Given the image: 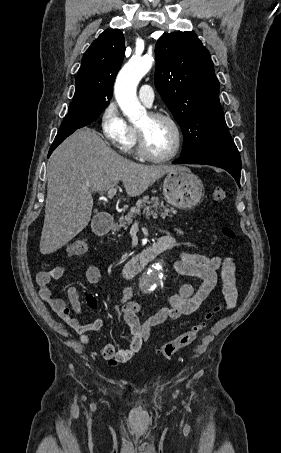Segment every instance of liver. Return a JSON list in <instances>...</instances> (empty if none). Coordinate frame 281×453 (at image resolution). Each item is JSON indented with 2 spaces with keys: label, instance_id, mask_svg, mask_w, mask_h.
Here are the masks:
<instances>
[{
  "label": "liver",
  "instance_id": "liver-1",
  "mask_svg": "<svg viewBox=\"0 0 281 453\" xmlns=\"http://www.w3.org/2000/svg\"><path fill=\"white\" fill-rule=\"evenodd\" d=\"M187 168L132 162L107 146L94 128H79L57 146L47 166L40 253H55L86 229L93 208L92 192L109 190L122 180L128 196H139L167 172Z\"/></svg>",
  "mask_w": 281,
  "mask_h": 453
}]
</instances>
